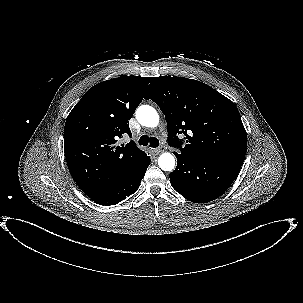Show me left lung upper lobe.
<instances>
[{
  "label": "left lung upper lobe",
  "mask_w": 303,
  "mask_h": 303,
  "mask_svg": "<svg viewBox=\"0 0 303 303\" xmlns=\"http://www.w3.org/2000/svg\"><path fill=\"white\" fill-rule=\"evenodd\" d=\"M146 99L165 114L169 145L180 154L199 160H224L242 164L247 134L235 104L211 88L184 77H155ZM186 136V143L177 138Z\"/></svg>",
  "instance_id": "5c2ea615"
}]
</instances>
